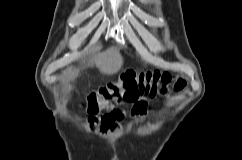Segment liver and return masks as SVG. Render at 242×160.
Here are the masks:
<instances>
[{
	"label": "liver",
	"mask_w": 242,
	"mask_h": 160,
	"mask_svg": "<svg viewBox=\"0 0 242 160\" xmlns=\"http://www.w3.org/2000/svg\"><path fill=\"white\" fill-rule=\"evenodd\" d=\"M123 65V57L119 49L111 47L103 52L96 53L89 66H96L102 74L112 75L117 73Z\"/></svg>",
	"instance_id": "liver-1"
}]
</instances>
